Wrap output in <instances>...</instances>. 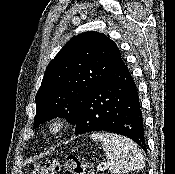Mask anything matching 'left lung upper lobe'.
I'll return each mask as SVG.
<instances>
[{
  "mask_svg": "<svg viewBox=\"0 0 175 174\" xmlns=\"http://www.w3.org/2000/svg\"><path fill=\"white\" fill-rule=\"evenodd\" d=\"M121 59L117 45L98 32L66 43L47 66L36 94L34 128L55 117L74 124L84 95L101 83Z\"/></svg>",
  "mask_w": 175,
  "mask_h": 174,
  "instance_id": "1",
  "label": "left lung upper lobe"
}]
</instances>
